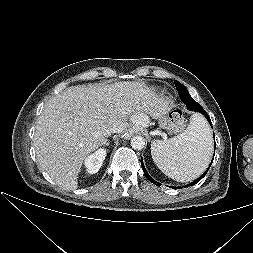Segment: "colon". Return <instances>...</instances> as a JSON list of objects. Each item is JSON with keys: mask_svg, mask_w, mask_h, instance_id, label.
I'll list each match as a JSON object with an SVG mask.
<instances>
[{"mask_svg": "<svg viewBox=\"0 0 253 253\" xmlns=\"http://www.w3.org/2000/svg\"><path fill=\"white\" fill-rule=\"evenodd\" d=\"M169 125L173 130H181L184 127L183 117L179 114L173 113L169 118Z\"/></svg>", "mask_w": 253, "mask_h": 253, "instance_id": "5ec220e1", "label": "colon"}]
</instances>
